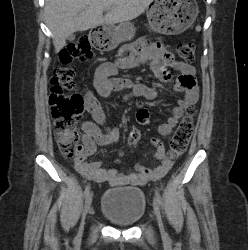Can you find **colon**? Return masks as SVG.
<instances>
[{
    "instance_id": "colon-1",
    "label": "colon",
    "mask_w": 248,
    "mask_h": 250,
    "mask_svg": "<svg viewBox=\"0 0 248 250\" xmlns=\"http://www.w3.org/2000/svg\"><path fill=\"white\" fill-rule=\"evenodd\" d=\"M177 52L186 62H193L195 59V46L193 43L178 44ZM92 58L91 41L88 36H81L61 51L59 65L51 78L49 104L53 126L61 154L67 160L77 158L79 133L76 124L85 110V101L82 95L75 90L73 81L75 71L70 65L75 60L84 63ZM195 113L194 106L187 107L184 117L171 138L169 146V156L171 158H177L186 151L194 131ZM131 132L133 138L132 140L127 139L126 144L128 145L136 143L140 137L137 130Z\"/></svg>"
}]
</instances>
